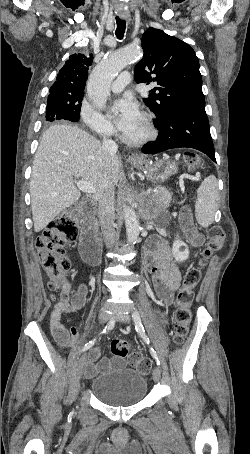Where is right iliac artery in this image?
I'll return each mask as SVG.
<instances>
[{"instance_id":"right-iliac-artery-1","label":"right iliac artery","mask_w":250,"mask_h":454,"mask_svg":"<svg viewBox=\"0 0 250 454\" xmlns=\"http://www.w3.org/2000/svg\"><path fill=\"white\" fill-rule=\"evenodd\" d=\"M114 325H115V320L111 319L108 322V324L105 326V328L103 329L102 333H106L107 331L113 329ZM95 342H96V338L91 340V341H89L88 343H86L84 345V347L82 348V350L80 352H83V351H86V350L90 349L95 344Z\"/></svg>"}]
</instances>
